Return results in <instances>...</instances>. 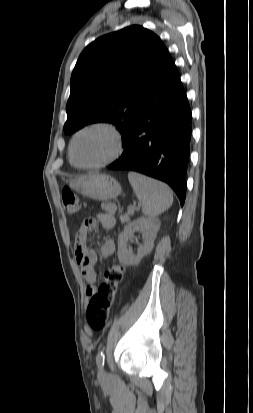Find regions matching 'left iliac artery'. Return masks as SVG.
Masks as SVG:
<instances>
[{
    "mask_svg": "<svg viewBox=\"0 0 253 413\" xmlns=\"http://www.w3.org/2000/svg\"><path fill=\"white\" fill-rule=\"evenodd\" d=\"M97 366L102 368L105 362V355L103 351H100L96 357Z\"/></svg>",
    "mask_w": 253,
    "mask_h": 413,
    "instance_id": "44dca946",
    "label": "left iliac artery"
}]
</instances>
